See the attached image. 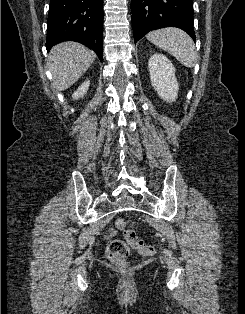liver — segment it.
Segmentation results:
<instances>
[{
	"mask_svg": "<svg viewBox=\"0 0 245 314\" xmlns=\"http://www.w3.org/2000/svg\"><path fill=\"white\" fill-rule=\"evenodd\" d=\"M96 54L82 44L68 41L55 45L49 54L53 89L64 91L73 85L92 65Z\"/></svg>",
	"mask_w": 245,
	"mask_h": 314,
	"instance_id": "liver-1",
	"label": "liver"
}]
</instances>
